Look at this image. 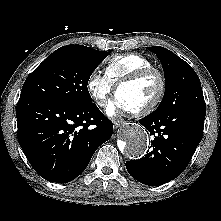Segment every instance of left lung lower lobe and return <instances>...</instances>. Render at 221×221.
<instances>
[{"instance_id": "obj_1", "label": "left lung lower lobe", "mask_w": 221, "mask_h": 221, "mask_svg": "<svg viewBox=\"0 0 221 221\" xmlns=\"http://www.w3.org/2000/svg\"><path fill=\"white\" fill-rule=\"evenodd\" d=\"M205 115L206 111L181 109L139 120L154 139L145 157L126 162L129 174L146 185H161L179 176L202 139Z\"/></svg>"}]
</instances>
